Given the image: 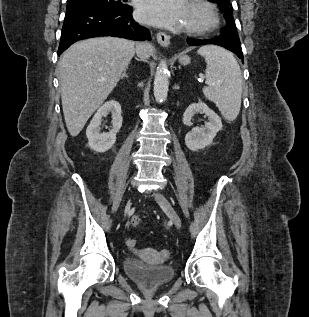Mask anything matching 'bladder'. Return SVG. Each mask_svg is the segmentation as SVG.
I'll list each match as a JSON object with an SVG mask.
<instances>
[{"instance_id": "31cf9c89", "label": "bladder", "mask_w": 309, "mask_h": 317, "mask_svg": "<svg viewBox=\"0 0 309 317\" xmlns=\"http://www.w3.org/2000/svg\"><path fill=\"white\" fill-rule=\"evenodd\" d=\"M126 275L144 289H156L169 283L174 277V270L168 265L151 264L138 258L124 260Z\"/></svg>"}]
</instances>
